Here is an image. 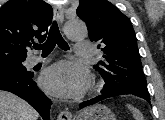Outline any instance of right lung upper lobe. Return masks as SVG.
I'll list each match as a JSON object with an SVG mask.
<instances>
[{"label":"right lung upper lobe","instance_id":"cb5924a9","mask_svg":"<svg viewBox=\"0 0 165 120\" xmlns=\"http://www.w3.org/2000/svg\"><path fill=\"white\" fill-rule=\"evenodd\" d=\"M52 7L42 0H9L0 8V62L25 60L34 40L44 41Z\"/></svg>","mask_w":165,"mask_h":120}]
</instances>
